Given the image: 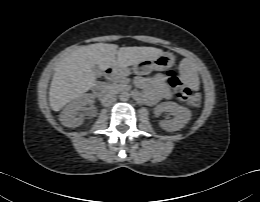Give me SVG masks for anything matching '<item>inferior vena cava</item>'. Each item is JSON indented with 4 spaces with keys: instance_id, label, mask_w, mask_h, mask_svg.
<instances>
[{
    "instance_id": "inferior-vena-cava-1",
    "label": "inferior vena cava",
    "mask_w": 260,
    "mask_h": 202,
    "mask_svg": "<svg viewBox=\"0 0 260 202\" xmlns=\"http://www.w3.org/2000/svg\"><path fill=\"white\" fill-rule=\"evenodd\" d=\"M116 100H117V98L115 95L109 94V95H105L104 97H102L101 103L103 106L108 107V106L114 104Z\"/></svg>"
}]
</instances>
